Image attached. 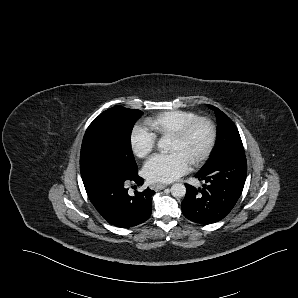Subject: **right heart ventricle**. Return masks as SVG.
Here are the masks:
<instances>
[{"mask_svg": "<svg viewBox=\"0 0 298 298\" xmlns=\"http://www.w3.org/2000/svg\"><path fill=\"white\" fill-rule=\"evenodd\" d=\"M197 117L198 114L192 111L171 110L146 118L144 122L153 131L155 136L164 137L179 125L187 123Z\"/></svg>", "mask_w": 298, "mask_h": 298, "instance_id": "e07e8e85", "label": "right heart ventricle"}]
</instances>
